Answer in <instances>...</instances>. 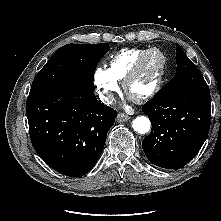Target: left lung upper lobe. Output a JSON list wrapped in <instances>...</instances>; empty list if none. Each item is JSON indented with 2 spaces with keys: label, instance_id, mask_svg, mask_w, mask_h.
<instances>
[{
  "label": "left lung upper lobe",
  "instance_id": "left-lung-upper-lobe-1",
  "mask_svg": "<svg viewBox=\"0 0 221 221\" xmlns=\"http://www.w3.org/2000/svg\"><path fill=\"white\" fill-rule=\"evenodd\" d=\"M176 56L177 71L175 76L155 96L185 92H210L201 72L178 44H176Z\"/></svg>",
  "mask_w": 221,
  "mask_h": 221
}]
</instances>
